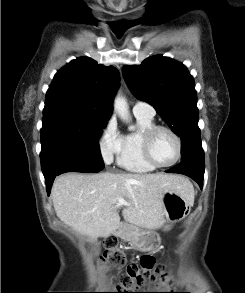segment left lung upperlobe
Segmentation results:
<instances>
[{
  "mask_svg": "<svg viewBox=\"0 0 245 293\" xmlns=\"http://www.w3.org/2000/svg\"><path fill=\"white\" fill-rule=\"evenodd\" d=\"M131 91L150 103L171 130L181 137V161L204 165L198 127L194 79L187 68L168 57L153 56L141 65L123 66Z\"/></svg>",
  "mask_w": 245,
  "mask_h": 293,
  "instance_id": "left-lung-upper-lobe-1",
  "label": "left lung upper lobe"
}]
</instances>
